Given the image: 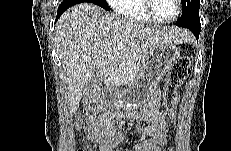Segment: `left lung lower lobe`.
I'll return each mask as SVG.
<instances>
[{"instance_id": "1", "label": "left lung lower lobe", "mask_w": 231, "mask_h": 151, "mask_svg": "<svg viewBox=\"0 0 231 151\" xmlns=\"http://www.w3.org/2000/svg\"><path fill=\"white\" fill-rule=\"evenodd\" d=\"M190 30L193 32V34L195 35V37L198 40L201 28H192Z\"/></svg>"}]
</instances>
